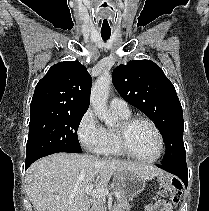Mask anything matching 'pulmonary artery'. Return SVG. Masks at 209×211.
<instances>
[{
    "label": "pulmonary artery",
    "instance_id": "1",
    "mask_svg": "<svg viewBox=\"0 0 209 211\" xmlns=\"http://www.w3.org/2000/svg\"><path fill=\"white\" fill-rule=\"evenodd\" d=\"M110 108L114 112L128 114L130 113V109L125 100L119 97H114L110 101Z\"/></svg>",
    "mask_w": 209,
    "mask_h": 211
}]
</instances>
